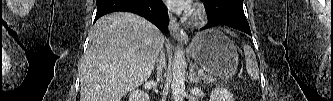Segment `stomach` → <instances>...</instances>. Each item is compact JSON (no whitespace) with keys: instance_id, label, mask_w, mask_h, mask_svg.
<instances>
[{"instance_id":"0dacf381","label":"stomach","mask_w":333,"mask_h":101,"mask_svg":"<svg viewBox=\"0 0 333 101\" xmlns=\"http://www.w3.org/2000/svg\"><path fill=\"white\" fill-rule=\"evenodd\" d=\"M194 61L211 76L232 78L238 66V53L233 42L218 30H206L195 36L189 46Z\"/></svg>"}]
</instances>
